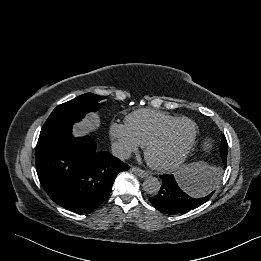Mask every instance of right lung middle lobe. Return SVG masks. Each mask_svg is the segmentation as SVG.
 Instances as JSON below:
<instances>
[{
  "label": "right lung middle lobe",
  "instance_id": "obj_1",
  "mask_svg": "<svg viewBox=\"0 0 261 261\" xmlns=\"http://www.w3.org/2000/svg\"><path fill=\"white\" fill-rule=\"evenodd\" d=\"M101 99H103L101 96L86 93L63 103L53 110L44 126L64 120H80L87 112L98 110L100 108L98 102Z\"/></svg>",
  "mask_w": 261,
  "mask_h": 261
}]
</instances>
